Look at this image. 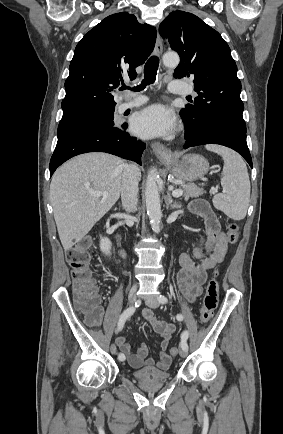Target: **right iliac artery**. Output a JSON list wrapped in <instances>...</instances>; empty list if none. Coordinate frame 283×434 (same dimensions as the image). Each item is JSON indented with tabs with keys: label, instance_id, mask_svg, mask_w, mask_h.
Masks as SVG:
<instances>
[{
	"label": "right iliac artery",
	"instance_id": "obj_1",
	"mask_svg": "<svg viewBox=\"0 0 283 434\" xmlns=\"http://www.w3.org/2000/svg\"><path fill=\"white\" fill-rule=\"evenodd\" d=\"M136 309V304L135 306H131L128 309H126L120 316L119 321H118V330H122L126 320L135 312ZM118 359L120 361H124L125 360V356L123 354H119L118 355Z\"/></svg>",
	"mask_w": 283,
	"mask_h": 434
}]
</instances>
